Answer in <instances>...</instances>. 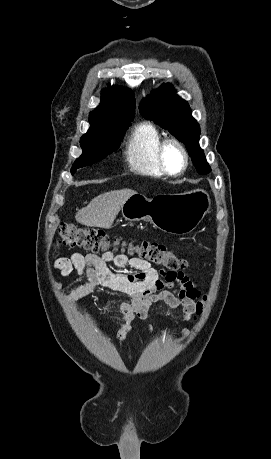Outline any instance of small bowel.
Segmentation results:
<instances>
[{"label": "small bowel", "instance_id": "small-bowel-1", "mask_svg": "<svg viewBox=\"0 0 271 459\" xmlns=\"http://www.w3.org/2000/svg\"><path fill=\"white\" fill-rule=\"evenodd\" d=\"M113 263L119 269L130 271H114L109 267ZM63 276L74 270L87 279V284L72 290L65 298L74 301L90 295L96 288L103 287L120 292L129 297L123 302L120 310L124 323L116 333V339L122 341L132 329V322L145 319L150 305L163 301L173 309H181L183 319L187 320L196 312V301L201 294L196 283L183 272L158 271L139 257L116 254L106 251L101 256L75 252L69 257L56 262ZM186 335L187 331L182 330Z\"/></svg>", "mask_w": 271, "mask_h": 459}]
</instances>
